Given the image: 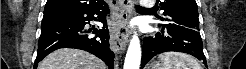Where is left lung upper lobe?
<instances>
[{
  "label": "left lung upper lobe",
  "instance_id": "left-lung-upper-lobe-1",
  "mask_svg": "<svg viewBox=\"0 0 246 69\" xmlns=\"http://www.w3.org/2000/svg\"><path fill=\"white\" fill-rule=\"evenodd\" d=\"M159 2L165 17H158L166 22L164 27L187 28L199 31V19L195 0H164Z\"/></svg>",
  "mask_w": 246,
  "mask_h": 69
}]
</instances>
